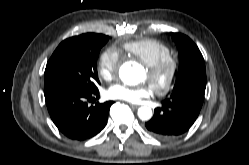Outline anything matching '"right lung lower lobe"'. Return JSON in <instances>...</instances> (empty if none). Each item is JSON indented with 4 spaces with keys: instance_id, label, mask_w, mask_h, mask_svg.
Returning a JSON list of instances; mask_svg holds the SVG:
<instances>
[{
    "instance_id": "98d812e1",
    "label": "right lung lower lobe",
    "mask_w": 249,
    "mask_h": 165,
    "mask_svg": "<svg viewBox=\"0 0 249 165\" xmlns=\"http://www.w3.org/2000/svg\"><path fill=\"white\" fill-rule=\"evenodd\" d=\"M48 112L57 128L73 140L83 141L98 134L106 125L113 101L95 106L87 102L99 97L98 88L92 91L47 84L44 86Z\"/></svg>"
}]
</instances>
